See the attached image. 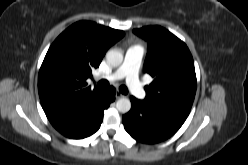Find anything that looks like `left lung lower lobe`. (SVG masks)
<instances>
[{
  "instance_id": "0a47b994",
  "label": "left lung lower lobe",
  "mask_w": 248,
  "mask_h": 165,
  "mask_svg": "<svg viewBox=\"0 0 248 165\" xmlns=\"http://www.w3.org/2000/svg\"><path fill=\"white\" fill-rule=\"evenodd\" d=\"M131 110L123 115L125 130L137 141L158 143L175 134L187 117L147 104L135 97L130 98Z\"/></svg>"
}]
</instances>
